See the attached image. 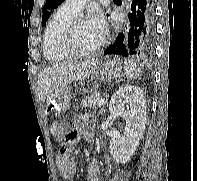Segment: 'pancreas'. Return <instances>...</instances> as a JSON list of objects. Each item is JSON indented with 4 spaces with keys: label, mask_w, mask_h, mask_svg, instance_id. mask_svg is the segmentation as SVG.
I'll return each instance as SVG.
<instances>
[{
    "label": "pancreas",
    "mask_w": 197,
    "mask_h": 181,
    "mask_svg": "<svg viewBox=\"0 0 197 181\" xmlns=\"http://www.w3.org/2000/svg\"><path fill=\"white\" fill-rule=\"evenodd\" d=\"M102 99V94L99 92H95L91 95H87L81 102V104L85 107L96 108L98 101Z\"/></svg>",
    "instance_id": "1"
}]
</instances>
